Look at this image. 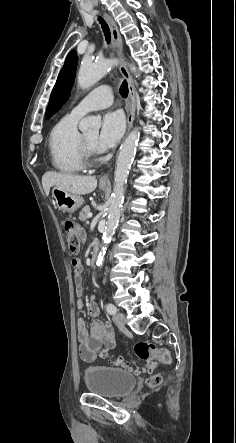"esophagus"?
Instances as JSON below:
<instances>
[{
    "label": "esophagus",
    "mask_w": 236,
    "mask_h": 443,
    "mask_svg": "<svg viewBox=\"0 0 236 443\" xmlns=\"http://www.w3.org/2000/svg\"><path fill=\"white\" fill-rule=\"evenodd\" d=\"M104 16H105V18L109 24L110 30H111L113 46L116 50L117 56L121 59L120 72L123 75V77L127 80V83H128L129 98L131 101V106H130V110L128 112V117H127V123H128V130L127 131L129 132L132 128L134 117H135V111H136L135 86H134L133 79H132V77H131V75H130V73L123 61V42H122V37L120 35L118 27H117L115 21L111 18V16H109L107 13H104ZM99 182L102 184L109 183V174L106 173V174L102 175Z\"/></svg>",
    "instance_id": "1"
}]
</instances>
